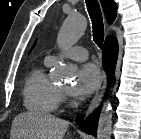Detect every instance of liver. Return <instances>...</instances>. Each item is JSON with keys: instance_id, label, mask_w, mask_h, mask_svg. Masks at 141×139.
<instances>
[{"instance_id": "obj_1", "label": "liver", "mask_w": 141, "mask_h": 139, "mask_svg": "<svg viewBox=\"0 0 141 139\" xmlns=\"http://www.w3.org/2000/svg\"><path fill=\"white\" fill-rule=\"evenodd\" d=\"M68 125L50 114L24 112L12 122L11 139H63Z\"/></svg>"}]
</instances>
